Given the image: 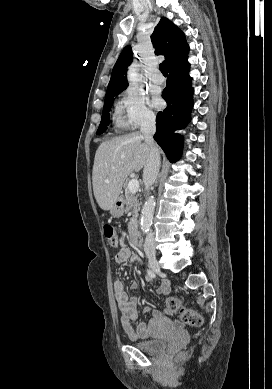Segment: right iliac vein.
Here are the masks:
<instances>
[{
	"instance_id": "obj_1",
	"label": "right iliac vein",
	"mask_w": 272,
	"mask_h": 389,
	"mask_svg": "<svg viewBox=\"0 0 272 389\" xmlns=\"http://www.w3.org/2000/svg\"><path fill=\"white\" fill-rule=\"evenodd\" d=\"M148 264L152 271L154 272H160V265L156 259L155 253H148L147 254Z\"/></svg>"
}]
</instances>
